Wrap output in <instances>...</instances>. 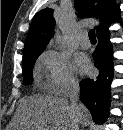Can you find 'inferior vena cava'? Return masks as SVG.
Listing matches in <instances>:
<instances>
[{"instance_id":"1","label":"inferior vena cava","mask_w":123,"mask_h":130,"mask_svg":"<svg viewBox=\"0 0 123 130\" xmlns=\"http://www.w3.org/2000/svg\"><path fill=\"white\" fill-rule=\"evenodd\" d=\"M79 84L75 80H70L68 85L67 97L70 100L71 112H72V128L71 130H79V124L81 123V109L79 106Z\"/></svg>"}]
</instances>
